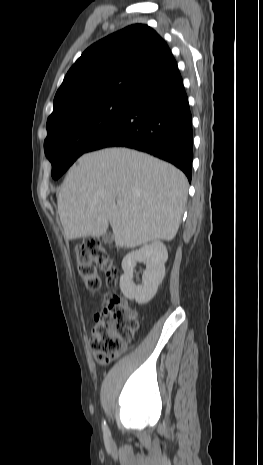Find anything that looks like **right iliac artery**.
Segmentation results:
<instances>
[{"label":"right iliac artery","instance_id":"82829eb1","mask_svg":"<svg viewBox=\"0 0 263 465\" xmlns=\"http://www.w3.org/2000/svg\"><path fill=\"white\" fill-rule=\"evenodd\" d=\"M102 429L105 435H109V429L107 427L105 420L102 422Z\"/></svg>","mask_w":263,"mask_h":465}]
</instances>
